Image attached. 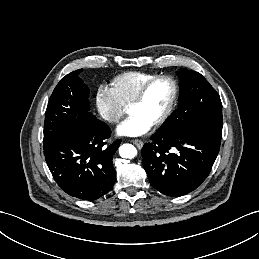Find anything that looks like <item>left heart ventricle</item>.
Masks as SVG:
<instances>
[{
    "mask_svg": "<svg viewBox=\"0 0 259 259\" xmlns=\"http://www.w3.org/2000/svg\"><path fill=\"white\" fill-rule=\"evenodd\" d=\"M171 94L172 87L168 81H157L149 88L144 99L131 107V113L153 124L167 108Z\"/></svg>",
    "mask_w": 259,
    "mask_h": 259,
    "instance_id": "left-heart-ventricle-1",
    "label": "left heart ventricle"
}]
</instances>
